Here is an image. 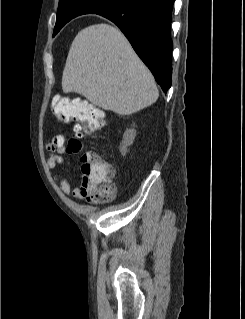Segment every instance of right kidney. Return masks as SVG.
I'll use <instances>...</instances> for the list:
<instances>
[{
    "instance_id": "1",
    "label": "right kidney",
    "mask_w": 245,
    "mask_h": 319,
    "mask_svg": "<svg viewBox=\"0 0 245 319\" xmlns=\"http://www.w3.org/2000/svg\"><path fill=\"white\" fill-rule=\"evenodd\" d=\"M136 136V131L135 129H127L123 135V140H122V147L120 148V152L123 156H125L127 152V147L130 146Z\"/></svg>"
}]
</instances>
